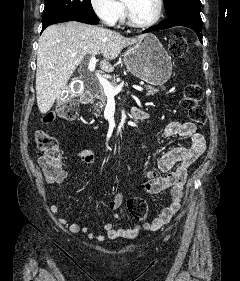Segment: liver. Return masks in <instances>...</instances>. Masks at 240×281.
Returning a JSON list of instances; mask_svg holds the SVG:
<instances>
[{
  "instance_id": "obj_1",
  "label": "liver",
  "mask_w": 240,
  "mask_h": 281,
  "mask_svg": "<svg viewBox=\"0 0 240 281\" xmlns=\"http://www.w3.org/2000/svg\"><path fill=\"white\" fill-rule=\"evenodd\" d=\"M146 35L133 38L92 25L71 21L47 27L39 38L36 96L38 109L47 113L86 57L102 54L100 68L112 72L114 60L123 48L138 43Z\"/></svg>"
}]
</instances>
